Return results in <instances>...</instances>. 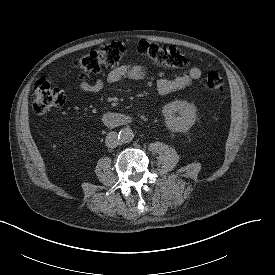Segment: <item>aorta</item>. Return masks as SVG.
I'll return each instance as SVG.
<instances>
[{
  "label": "aorta",
  "mask_w": 275,
  "mask_h": 275,
  "mask_svg": "<svg viewBox=\"0 0 275 275\" xmlns=\"http://www.w3.org/2000/svg\"><path fill=\"white\" fill-rule=\"evenodd\" d=\"M134 133L131 128L126 127L120 130L119 132V139L122 143H129L133 140Z\"/></svg>",
  "instance_id": "762f6f07"
}]
</instances>
